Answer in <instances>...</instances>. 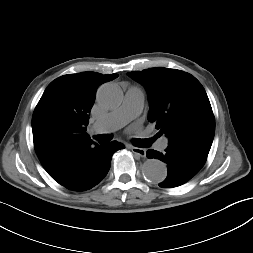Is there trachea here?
Wrapping results in <instances>:
<instances>
[{"label":"trachea","instance_id":"1","mask_svg":"<svg viewBox=\"0 0 253 253\" xmlns=\"http://www.w3.org/2000/svg\"><path fill=\"white\" fill-rule=\"evenodd\" d=\"M112 136L108 134H102L95 137L99 141V143H107L111 140ZM153 142L152 139H142L140 141L139 147H149L151 143Z\"/></svg>","mask_w":253,"mask_h":253}]
</instances>
